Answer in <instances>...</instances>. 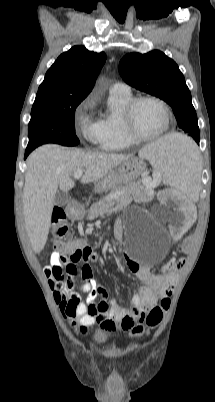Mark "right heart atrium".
<instances>
[{
    "mask_svg": "<svg viewBox=\"0 0 215 402\" xmlns=\"http://www.w3.org/2000/svg\"><path fill=\"white\" fill-rule=\"evenodd\" d=\"M93 102L91 99L83 101L76 110V129L80 137L91 144H97L101 135L99 120L91 117Z\"/></svg>",
    "mask_w": 215,
    "mask_h": 402,
    "instance_id": "right-heart-atrium-1",
    "label": "right heart atrium"
}]
</instances>
